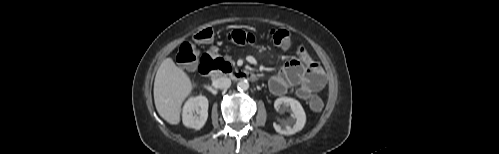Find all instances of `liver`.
<instances>
[{"label":"liver","instance_id":"liver-1","mask_svg":"<svg viewBox=\"0 0 499 154\" xmlns=\"http://www.w3.org/2000/svg\"><path fill=\"white\" fill-rule=\"evenodd\" d=\"M192 90L190 77L171 58H166L154 81V102L159 115L168 123L178 125L181 105Z\"/></svg>","mask_w":499,"mask_h":154}]
</instances>
